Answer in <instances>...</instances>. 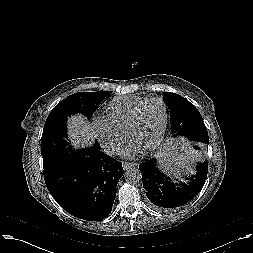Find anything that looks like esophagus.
Listing matches in <instances>:
<instances>
[{
	"instance_id": "obj_1",
	"label": "esophagus",
	"mask_w": 253,
	"mask_h": 253,
	"mask_svg": "<svg viewBox=\"0 0 253 253\" xmlns=\"http://www.w3.org/2000/svg\"><path fill=\"white\" fill-rule=\"evenodd\" d=\"M136 164L135 163H133V162H123L122 163V167H123V169L124 170H127V169H130V168H132V167H134Z\"/></svg>"
}]
</instances>
